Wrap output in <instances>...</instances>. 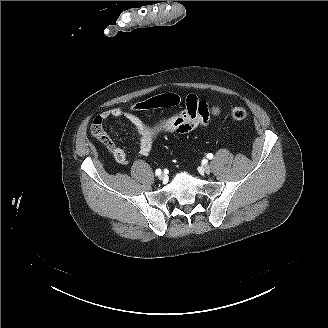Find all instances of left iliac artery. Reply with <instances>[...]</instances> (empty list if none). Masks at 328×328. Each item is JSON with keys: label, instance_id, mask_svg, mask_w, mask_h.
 <instances>
[{"label": "left iliac artery", "instance_id": "obj_1", "mask_svg": "<svg viewBox=\"0 0 328 328\" xmlns=\"http://www.w3.org/2000/svg\"><path fill=\"white\" fill-rule=\"evenodd\" d=\"M207 158H208V159H212V158H213V154H212V153H208V154H207Z\"/></svg>", "mask_w": 328, "mask_h": 328}]
</instances>
